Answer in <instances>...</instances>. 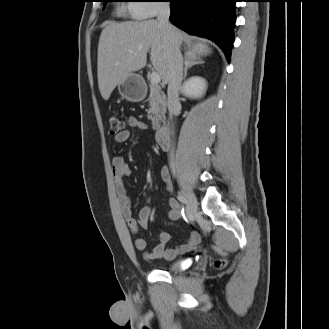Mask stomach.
I'll list each match as a JSON object with an SVG mask.
<instances>
[{"mask_svg": "<svg viewBox=\"0 0 329 329\" xmlns=\"http://www.w3.org/2000/svg\"><path fill=\"white\" fill-rule=\"evenodd\" d=\"M119 93L130 102L142 101L147 93L144 79L135 73H131L124 82L118 85Z\"/></svg>", "mask_w": 329, "mask_h": 329, "instance_id": "stomach-1", "label": "stomach"}]
</instances>
